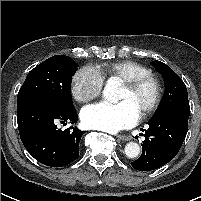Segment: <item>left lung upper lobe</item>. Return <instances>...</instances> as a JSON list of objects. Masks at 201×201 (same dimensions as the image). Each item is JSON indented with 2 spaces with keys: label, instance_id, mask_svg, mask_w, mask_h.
<instances>
[{
  "label": "left lung upper lobe",
  "instance_id": "1",
  "mask_svg": "<svg viewBox=\"0 0 201 201\" xmlns=\"http://www.w3.org/2000/svg\"><path fill=\"white\" fill-rule=\"evenodd\" d=\"M152 65L162 74L165 84V94L155 114L176 105H189L186 85L182 79L166 64L153 61Z\"/></svg>",
  "mask_w": 201,
  "mask_h": 201
}]
</instances>
